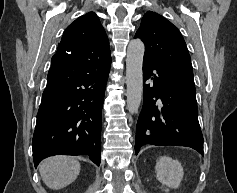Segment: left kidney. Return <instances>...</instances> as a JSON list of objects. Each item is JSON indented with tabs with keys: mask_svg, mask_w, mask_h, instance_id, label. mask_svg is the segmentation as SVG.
<instances>
[{
	"mask_svg": "<svg viewBox=\"0 0 237 193\" xmlns=\"http://www.w3.org/2000/svg\"><path fill=\"white\" fill-rule=\"evenodd\" d=\"M155 170L157 180L164 186L174 189L180 186L184 171L179 161L162 156L157 161Z\"/></svg>",
	"mask_w": 237,
	"mask_h": 193,
	"instance_id": "1",
	"label": "left kidney"
}]
</instances>
